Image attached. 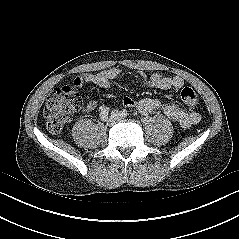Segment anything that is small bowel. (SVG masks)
<instances>
[{
	"label": "small bowel",
	"instance_id": "1",
	"mask_svg": "<svg viewBox=\"0 0 239 239\" xmlns=\"http://www.w3.org/2000/svg\"><path fill=\"white\" fill-rule=\"evenodd\" d=\"M119 76L120 70L118 68L112 67L101 72L86 73L84 75L78 76L74 79L73 84L77 88H81L86 84H94L106 89H111V82ZM139 76L140 80L145 85L161 90H179L184 85V80L180 76L170 77L160 73H154L150 76L140 73ZM121 101L125 106L134 107L142 114H149L162 106L161 100L154 98H145L136 101L131 97L123 96ZM96 107L97 103L95 101H90L82 108V111L84 113H90L94 111ZM163 111L166 116H168L172 121L178 123L183 128H190L191 126L199 123L201 119L198 112H188L175 104H168L164 106Z\"/></svg>",
	"mask_w": 239,
	"mask_h": 239
}]
</instances>
